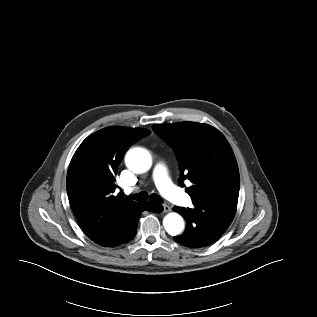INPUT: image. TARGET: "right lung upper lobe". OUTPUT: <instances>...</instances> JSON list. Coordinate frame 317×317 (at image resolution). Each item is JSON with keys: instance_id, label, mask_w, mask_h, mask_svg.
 Segmentation results:
<instances>
[{"instance_id": "right-lung-upper-lobe-1", "label": "right lung upper lobe", "mask_w": 317, "mask_h": 317, "mask_svg": "<svg viewBox=\"0 0 317 317\" xmlns=\"http://www.w3.org/2000/svg\"><path fill=\"white\" fill-rule=\"evenodd\" d=\"M149 134L146 129L112 126L92 134L78 147L68 168L66 187L81 226L95 222L113 232L138 203L120 194L114 196L113 192L125 152Z\"/></svg>"}]
</instances>
